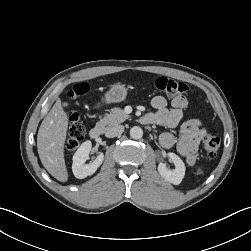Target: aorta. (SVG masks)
<instances>
[{
  "label": "aorta",
  "instance_id": "1",
  "mask_svg": "<svg viewBox=\"0 0 251 251\" xmlns=\"http://www.w3.org/2000/svg\"><path fill=\"white\" fill-rule=\"evenodd\" d=\"M142 136H143V130H142L141 127H139V126H134V127H132V128L130 129V137H131L132 139H135V140L141 139Z\"/></svg>",
  "mask_w": 251,
  "mask_h": 251
}]
</instances>
